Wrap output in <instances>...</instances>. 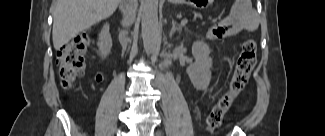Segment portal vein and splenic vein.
I'll return each mask as SVG.
<instances>
[{"label": "portal vein and splenic vein", "instance_id": "obj_1", "mask_svg": "<svg viewBox=\"0 0 325 136\" xmlns=\"http://www.w3.org/2000/svg\"><path fill=\"white\" fill-rule=\"evenodd\" d=\"M181 23H182V24H186V23H187V19H186V18L183 19V20L181 21Z\"/></svg>", "mask_w": 325, "mask_h": 136}]
</instances>
